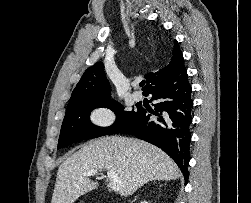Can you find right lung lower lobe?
<instances>
[{
  "mask_svg": "<svg viewBox=\"0 0 251 203\" xmlns=\"http://www.w3.org/2000/svg\"><path fill=\"white\" fill-rule=\"evenodd\" d=\"M149 94L155 101V111L140 108L118 133L132 134L161 148L176 162L187 181L193 100L185 66L151 87L145 93Z\"/></svg>",
  "mask_w": 251,
  "mask_h": 203,
  "instance_id": "obj_1",
  "label": "right lung lower lobe"
}]
</instances>
